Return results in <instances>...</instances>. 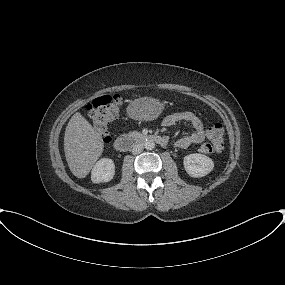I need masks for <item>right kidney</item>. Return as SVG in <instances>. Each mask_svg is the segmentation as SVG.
Returning a JSON list of instances; mask_svg holds the SVG:
<instances>
[{"mask_svg": "<svg viewBox=\"0 0 285 285\" xmlns=\"http://www.w3.org/2000/svg\"><path fill=\"white\" fill-rule=\"evenodd\" d=\"M114 175V161L110 158H102L94 165L91 180L93 183H105L111 181Z\"/></svg>", "mask_w": 285, "mask_h": 285, "instance_id": "right-kidney-1", "label": "right kidney"}]
</instances>
